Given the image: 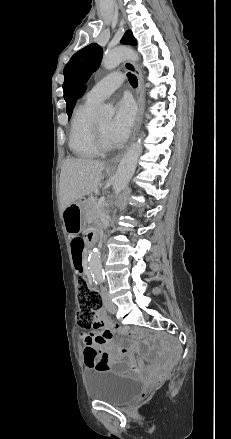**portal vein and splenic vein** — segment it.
<instances>
[{
  "label": "portal vein and splenic vein",
  "instance_id": "1",
  "mask_svg": "<svg viewBox=\"0 0 231 439\" xmlns=\"http://www.w3.org/2000/svg\"><path fill=\"white\" fill-rule=\"evenodd\" d=\"M103 201H104V197L100 198V200L98 201V204L96 206V209H98L103 204Z\"/></svg>",
  "mask_w": 231,
  "mask_h": 439
}]
</instances>
